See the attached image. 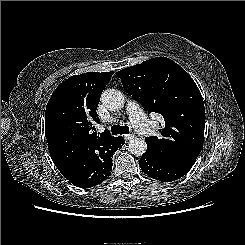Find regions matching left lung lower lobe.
Wrapping results in <instances>:
<instances>
[{
	"mask_svg": "<svg viewBox=\"0 0 245 245\" xmlns=\"http://www.w3.org/2000/svg\"><path fill=\"white\" fill-rule=\"evenodd\" d=\"M139 165L148 176L162 182H170L181 178L193 166V164L159 159L149 153H145L141 157Z\"/></svg>",
	"mask_w": 245,
	"mask_h": 245,
	"instance_id": "left-lung-lower-lobe-1",
	"label": "left lung lower lobe"
}]
</instances>
